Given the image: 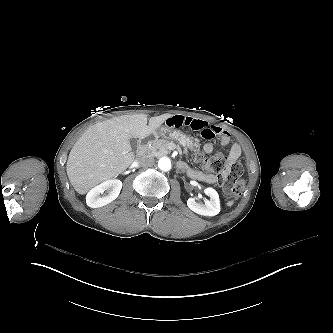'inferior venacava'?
<instances>
[{
  "mask_svg": "<svg viewBox=\"0 0 333 333\" xmlns=\"http://www.w3.org/2000/svg\"><path fill=\"white\" fill-rule=\"evenodd\" d=\"M137 162L141 166H153L155 163L154 158L147 156V155L139 158Z\"/></svg>",
  "mask_w": 333,
  "mask_h": 333,
  "instance_id": "obj_1",
  "label": "inferior vena cava"
}]
</instances>
